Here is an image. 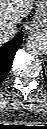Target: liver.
Segmentation results:
<instances>
[{"mask_svg": "<svg viewBox=\"0 0 47 129\" xmlns=\"http://www.w3.org/2000/svg\"><path fill=\"white\" fill-rule=\"evenodd\" d=\"M33 4L34 0H0V31L2 27L16 28L30 14ZM3 43L0 40V44Z\"/></svg>", "mask_w": 47, "mask_h": 129, "instance_id": "1", "label": "liver"}]
</instances>
